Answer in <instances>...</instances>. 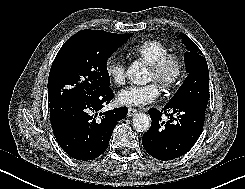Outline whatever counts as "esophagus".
<instances>
[{
	"instance_id": "esophagus-1",
	"label": "esophagus",
	"mask_w": 245,
	"mask_h": 189,
	"mask_svg": "<svg viewBox=\"0 0 245 189\" xmlns=\"http://www.w3.org/2000/svg\"><path fill=\"white\" fill-rule=\"evenodd\" d=\"M137 112H138L137 109H135V108H129L128 109V117L134 116Z\"/></svg>"
}]
</instances>
